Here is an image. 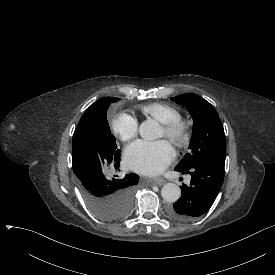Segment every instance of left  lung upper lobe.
I'll list each match as a JSON object with an SVG mask.
<instances>
[{
    "mask_svg": "<svg viewBox=\"0 0 275 275\" xmlns=\"http://www.w3.org/2000/svg\"><path fill=\"white\" fill-rule=\"evenodd\" d=\"M185 106L193 118V133L190 141L191 152L178 164L179 169L206 162L225 164L226 139L222 122L215 108L202 97L187 93L171 98Z\"/></svg>",
    "mask_w": 275,
    "mask_h": 275,
    "instance_id": "left-lung-upper-lobe-1",
    "label": "left lung upper lobe"
}]
</instances>
